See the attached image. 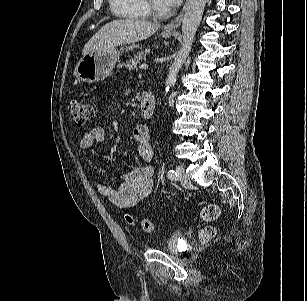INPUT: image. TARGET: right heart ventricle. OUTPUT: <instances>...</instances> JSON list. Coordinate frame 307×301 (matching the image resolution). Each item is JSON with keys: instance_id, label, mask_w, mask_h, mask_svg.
<instances>
[{"instance_id": "obj_1", "label": "right heart ventricle", "mask_w": 307, "mask_h": 301, "mask_svg": "<svg viewBox=\"0 0 307 301\" xmlns=\"http://www.w3.org/2000/svg\"><path fill=\"white\" fill-rule=\"evenodd\" d=\"M112 12L124 19H145L148 12L142 0H109Z\"/></svg>"}]
</instances>
